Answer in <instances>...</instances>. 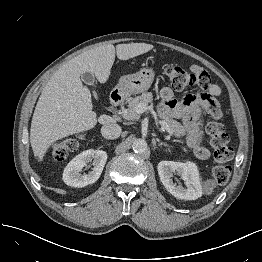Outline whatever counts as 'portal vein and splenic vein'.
Returning <instances> with one entry per match:
<instances>
[{
    "instance_id": "obj_1",
    "label": "portal vein and splenic vein",
    "mask_w": 262,
    "mask_h": 262,
    "mask_svg": "<svg viewBox=\"0 0 262 262\" xmlns=\"http://www.w3.org/2000/svg\"><path fill=\"white\" fill-rule=\"evenodd\" d=\"M148 109L147 105L144 103H140L135 107V112L138 114H142L144 113L146 110ZM127 114V112H125V115ZM157 123L160 124L161 130L162 131H166L169 135L167 136V139H170V136L173 135V132L171 131V129L169 128V126L167 125V123H165L164 121L161 120H157Z\"/></svg>"
}]
</instances>
